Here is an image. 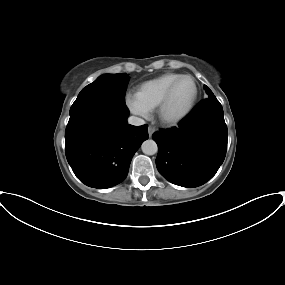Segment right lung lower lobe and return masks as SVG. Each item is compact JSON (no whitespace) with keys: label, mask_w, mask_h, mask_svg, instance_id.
<instances>
[{"label":"right lung lower lobe","mask_w":285,"mask_h":285,"mask_svg":"<svg viewBox=\"0 0 285 285\" xmlns=\"http://www.w3.org/2000/svg\"><path fill=\"white\" fill-rule=\"evenodd\" d=\"M125 104L94 100L70 115L66 158L87 186L106 189L122 182L133 155L148 139L147 125L127 124Z\"/></svg>","instance_id":"1"}]
</instances>
